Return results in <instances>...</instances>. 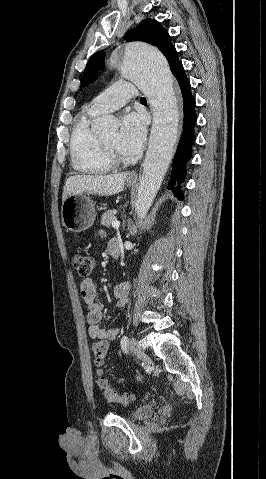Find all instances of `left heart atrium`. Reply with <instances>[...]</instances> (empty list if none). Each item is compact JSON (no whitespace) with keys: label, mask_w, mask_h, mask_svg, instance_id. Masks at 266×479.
<instances>
[{"label":"left heart atrium","mask_w":266,"mask_h":479,"mask_svg":"<svg viewBox=\"0 0 266 479\" xmlns=\"http://www.w3.org/2000/svg\"><path fill=\"white\" fill-rule=\"evenodd\" d=\"M146 127L144 117L136 113H128L122 119L118 133V146L125 155L137 154L144 143Z\"/></svg>","instance_id":"39dd6f15"}]
</instances>
